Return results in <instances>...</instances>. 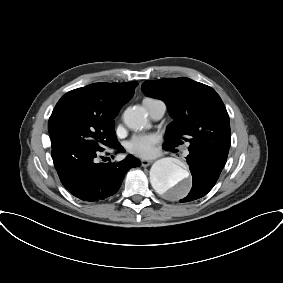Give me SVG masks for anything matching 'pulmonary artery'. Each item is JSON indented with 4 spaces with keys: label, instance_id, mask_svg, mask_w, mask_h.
Masks as SVG:
<instances>
[{
    "label": "pulmonary artery",
    "instance_id": "obj_1",
    "mask_svg": "<svg viewBox=\"0 0 283 283\" xmlns=\"http://www.w3.org/2000/svg\"><path fill=\"white\" fill-rule=\"evenodd\" d=\"M143 105L146 107L150 117L154 120L161 119L166 111V105L161 100H151L149 102L143 100ZM187 153L188 151H185V154Z\"/></svg>",
    "mask_w": 283,
    "mask_h": 283
}]
</instances>
